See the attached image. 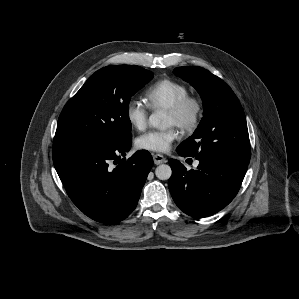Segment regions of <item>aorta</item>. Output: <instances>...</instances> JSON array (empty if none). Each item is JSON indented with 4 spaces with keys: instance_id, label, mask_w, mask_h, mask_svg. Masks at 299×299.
Wrapping results in <instances>:
<instances>
[{
    "instance_id": "aorta-1",
    "label": "aorta",
    "mask_w": 299,
    "mask_h": 299,
    "mask_svg": "<svg viewBox=\"0 0 299 299\" xmlns=\"http://www.w3.org/2000/svg\"><path fill=\"white\" fill-rule=\"evenodd\" d=\"M149 123L159 130H167L170 127V120L163 111H156L149 117ZM156 177L160 180H168L172 175L169 165L162 164L155 169Z\"/></svg>"
}]
</instances>
